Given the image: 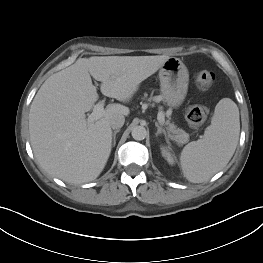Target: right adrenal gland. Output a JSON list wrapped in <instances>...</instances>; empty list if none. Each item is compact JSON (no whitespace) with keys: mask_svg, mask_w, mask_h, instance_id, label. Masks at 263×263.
<instances>
[{"mask_svg":"<svg viewBox=\"0 0 263 263\" xmlns=\"http://www.w3.org/2000/svg\"><path fill=\"white\" fill-rule=\"evenodd\" d=\"M120 131V129H117L113 132V147L116 145V134Z\"/></svg>","mask_w":263,"mask_h":263,"instance_id":"obj_1","label":"right adrenal gland"}]
</instances>
